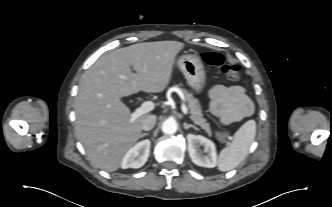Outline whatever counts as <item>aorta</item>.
Instances as JSON below:
<instances>
[{
  "label": "aorta",
  "instance_id": "aorta-1",
  "mask_svg": "<svg viewBox=\"0 0 332 207\" xmlns=\"http://www.w3.org/2000/svg\"><path fill=\"white\" fill-rule=\"evenodd\" d=\"M177 123L173 119H167L166 121L163 122L162 124V131L165 134H174L177 131Z\"/></svg>",
  "mask_w": 332,
  "mask_h": 207
}]
</instances>
